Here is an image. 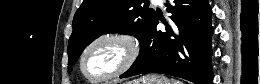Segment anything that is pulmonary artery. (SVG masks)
<instances>
[{
  "label": "pulmonary artery",
  "instance_id": "e3ab8cb5",
  "mask_svg": "<svg viewBox=\"0 0 260 84\" xmlns=\"http://www.w3.org/2000/svg\"><path fill=\"white\" fill-rule=\"evenodd\" d=\"M153 2L160 4V3H162V0H153Z\"/></svg>",
  "mask_w": 260,
  "mask_h": 84
}]
</instances>
